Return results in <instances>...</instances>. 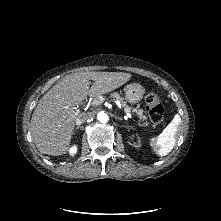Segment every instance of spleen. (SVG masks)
Segmentation results:
<instances>
[{
    "label": "spleen",
    "instance_id": "obj_1",
    "mask_svg": "<svg viewBox=\"0 0 221 221\" xmlns=\"http://www.w3.org/2000/svg\"><path fill=\"white\" fill-rule=\"evenodd\" d=\"M180 124L181 118L179 114H176L163 132L151 140V146L158 156H166L173 150Z\"/></svg>",
    "mask_w": 221,
    "mask_h": 221
}]
</instances>
